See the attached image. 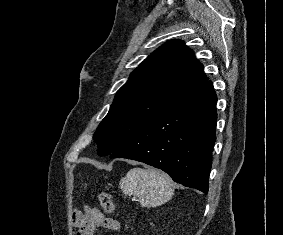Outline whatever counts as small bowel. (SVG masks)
<instances>
[{"instance_id": "small-bowel-1", "label": "small bowel", "mask_w": 283, "mask_h": 235, "mask_svg": "<svg viewBox=\"0 0 283 235\" xmlns=\"http://www.w3.org/2000/svg\"><path fill=\"white\" fill-rule=\"evenodd\" d=\"M73 222L77 230L76 235H93L97 227L109 231H118L121 228L119 220L106 217L97 208L87 206L83 210H74Z\"/></svg>"}]
</instances>
